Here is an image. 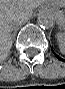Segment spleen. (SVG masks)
<instances>
[{"mask_svg":"<svg viewBox=\"0 0 65 89\" xmlns=\"http://www.w3.org/2000/svg\"><path fill=\"white\" fill-rule=\"evenodd\" d=\"M56 38L61 53H65V33L64 32L57 33Z\"/></svg>","mask_w":65,"mask_h":89,"instance_id":"3e777b00","label":"spleen"}]
</instances>
